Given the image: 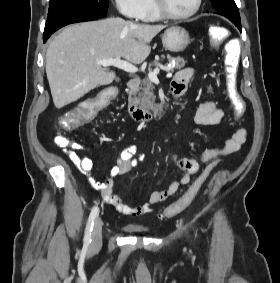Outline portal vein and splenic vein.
<instances>
[{
    "label": "portal vein and splenic vein",
    "mask_w": 280,
    "mask_h": 283,
    "mask_svg": "<svg viewBox=\"0 0 280 283\" xmlns=\"http://www.w3.org/2000/svg\"><path fill=\"white\" fill-rule=\"evenodd\" d=\"M97 63L103 67H107V66H115L118 67L126 72L129 73H136L138 72V68L127 62L124 60H121L119 57L114 58V59H104V60H99L97 61ZM160 69H164L166 71V68H156L154 71H151L148 73V78L154 82V83H158L159 79L157 77V74L159 73Z\"/></svg>",
    "instance_id": "obj_1"
}]
</instances>
